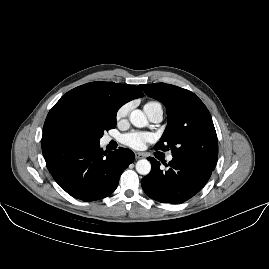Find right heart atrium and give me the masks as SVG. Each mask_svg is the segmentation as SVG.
<instances>
[{
	"mask_svg": "<svg viewBox=\"0 0 269 269\" xmlns=\"http://www.w3.org/2000/svg\"><path fill=\"white\" fill-rule=\"evenodd\" d=\"M131 110V103H125L118 108L115 114L116 121L119 123L127 118Z\"/></svg>",
	"mask_w": 269,
	"mask_h": 269,
	"instance_id": "right-heart-atrium-1",
	"label": "right heart atrium"
}]
</instances>
